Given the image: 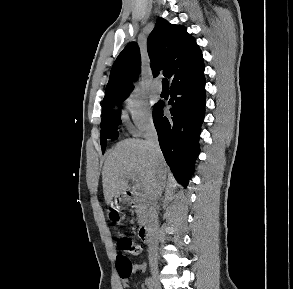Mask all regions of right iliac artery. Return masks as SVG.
Wrapping results in <instances>:
<instances>
[{
    "instance_id": "1",
    "label": "right iliac artery",
    "mask_w": 293,
    "mask_h": 289,
    "mask_svg": "<svg viewBox=\"0 0 293 289\" xmlns=\"http://www.w3.org/2000/svg\"><path fill=\"white\" fill-rule=\"evenodd\" d=\"M148 289H153V282L151 278H148L146 281Z\"/></svg>"
}]
</instances>
